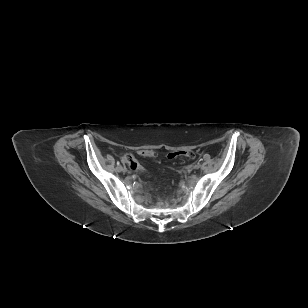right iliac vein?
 <instances>
[{"label": "right iliac vein", "instance_id": "right-iliac-vein-1", "mask_svg": "<svg viewBox=\"0 0 308 308\" xmlns=\"http://www.w3.org/2000/svg\"><path fill=\"white\" fill-rule=\"evenodd\" d=\"M117 170L120 172H126L127 169L125 167H122L121 165L117 167Z\"/></svg>", "mask_w": 308, "mask_h": 308}]
</instances>
